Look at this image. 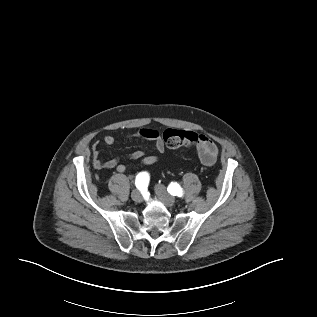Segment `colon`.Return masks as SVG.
I'll return each mask as SVG.
<instances>
[{"instance_id": "5ec220e1", "label": "colon", "mask_w": 317, "mask_h": 317, "mask_svg": "<svg viewBox=\"0 0 317 317\" xmlns=\"http://www.w3.org/2000/svg\"><path fill=\"white\" fill-rule=\"evenodd\" d=\"M161 138L167 148L178 149L196 144L199 135L193 131L169 128L162 133Z\"/></svg>"}]
</instances>
